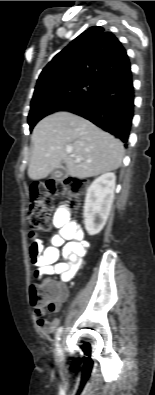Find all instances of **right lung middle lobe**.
Masks as SVG:
<instances>
[{
	"label": "right lung middle lobe",
	"instance_id": "dd1d6c3e",
	"mask_svg": "<svg viewBox=\"0 0 155 395\" xmlns=\"http://www.w3.org/2000/svg\"><path fill=\"white\" fill-rule=\"evenodd\" d=\"M99 85V81L74 80L52 85L34 93L28 116L30 130L45 116L77 103L95 91Z\"/></svg>",
	"mask_w": 155,
	"mask_h": 395
}]
</instances>
